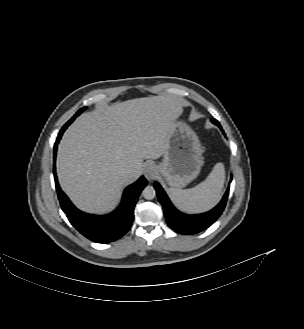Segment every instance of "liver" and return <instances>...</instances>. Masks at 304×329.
I'll use <instances>...</instances> for the list:
<instances>
[{
	"label": "liver",
	"mask_w": 304,
	"mask_h": 329,
	"mask_svg": "<svg viewBox=\"0 0 304 329\" xmlns=\"http://www.w3.org/2000/svg\"><path fill=\"white\" fill-rule=\"evenodd\" d=\"M183 102L172 95L127 100L97 107L64 133L57 153L61 188L88 213H106L122 187L136 180L144 159H158L168 145ZM131 168L124 178L119 170Z\"/></svg>",
	"instance_id": "liver-1"
}]
</instances>
